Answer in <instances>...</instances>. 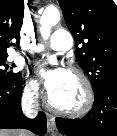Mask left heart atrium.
Masks as SVG:
<instances>
[{
    "label": "left heart atrium",
    "instance_id": "left-heart-atrium-1",
    "mask_svg": "<svg viewBox=\"0 0 117 136\" xmlns=\"http://www.w3.org/2000/svg\"><path fill=\"white\" fill-rule=\"evenodd\" d=\"M68 71L61 67L56 68H45L41 67L39 69V75L44 81V85L48 92V95H51L57 91L65 82Z\"/></svg>",
    "mask_w": 117,
    "mask_h": 136
}]
</instances>
